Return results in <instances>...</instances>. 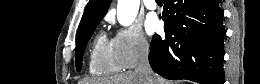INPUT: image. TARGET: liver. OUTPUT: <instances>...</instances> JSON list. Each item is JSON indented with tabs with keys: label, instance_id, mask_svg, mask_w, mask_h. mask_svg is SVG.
Returning a JSON list of instances; mask_svg holds the SVG:
<instances>
[{
	"label": "liver",
	"instance_id": "6515ba94",
	"mask_svg": "<svg viewBox=\"0 0 260 84\" xmlns=\"http://www.w3.org/2000/svg\"><path fill=\"white\" fill-rule=\"evenodd\" d=\"M156 84H172L171 81L158 77L154 74ZM82 84H145L144 78L135 71L114 75L112 77L84 80Z\"/></svg>",
	"mask_w": 260,
	"mask_h": 84
}]
</instances>
